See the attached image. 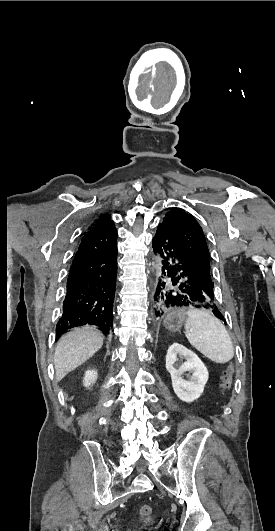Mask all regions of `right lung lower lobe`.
Instances as JSON below:
<instances>
[{"label":"right lung lower lobe","mask_w":275,"mask_h":531,"mask_svg":"<svg viewBox=\"0 0 275 531\" xmlns=\"http://www.w3.org/2000/svg\"><path fill=\"white\" fill-rule=\"evenodd\" d=\"M117 231L97 229L82 237L67 280L57 339L69 329L91 324L104 334L113 325L117 274Z\"/></svg>","instance_id":"right-lung-lower-lobe-1"}]
</instances>
